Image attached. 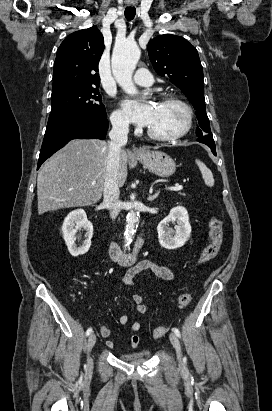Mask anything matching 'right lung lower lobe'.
I'll return each instance as SVG.
<instances>
[{
    "mask_svg": "<svg viewBox=\"0 0 272 411\" xmlns=\"http://www.w3.org/2000/svg\"><path fill=\"white\" fill-rule=\"evenodd\" d=\"M108 129L107 117L80 116L68 119L57 125L47 127L42 143L37 169L52 154L65 146L70 140L104 139Z\"/></svg>",
    "mask_w": 272,
    "mask_h": 411,
    "instance_id": "98d812e1",
    "label": "right lung lower lobe"
}]
</instances>
